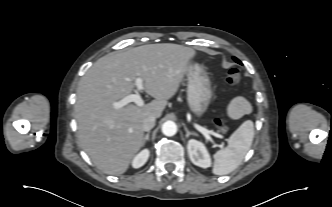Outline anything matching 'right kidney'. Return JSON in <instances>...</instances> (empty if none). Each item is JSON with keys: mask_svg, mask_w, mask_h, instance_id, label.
I'll return each mask as SVG.
<instances>
[{"mask_svg": "<svg viewBox=\"0 0 332 207\" xmlns=\"http://www.w3.org/2000/svg\"><path fill=\"white\" fill-rule=\"evenodd\" d=\"M148 158H149V150L144 149L133 158L132 166L134 168H140L147 162Z\"/></svg>", "mask_w": 332, "mask_h": 207, "instance_id": "right-kidney-1", "label": "right kidney"}]
</instances>
